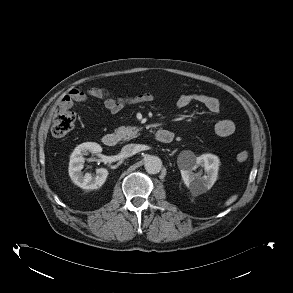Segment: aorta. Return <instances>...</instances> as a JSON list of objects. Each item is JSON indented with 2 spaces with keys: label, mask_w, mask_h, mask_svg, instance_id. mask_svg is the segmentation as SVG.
I'll list each match as a JSON object with an SVG mask.
<instances>
[{
  "label": "aorta",
  "mask_w": 293,
  "mask_h": 293,
  "mask_svg": "<svg viewBox=\"0 0 293 293\" xmlns=\"http://www.w3.org/2000/svg\"><path fill=\"white\" fill-rule=\"evenodd\" d=\"M144 167L149 174H157L162 168V161L158 156H147Z\"/></svg>",
  "instance_id": "obj_1"
}]
</instances>
